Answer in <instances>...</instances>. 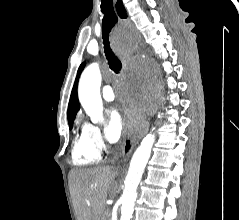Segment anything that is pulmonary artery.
<instances>
[{"label": "pulmonary artery", "mask_w": 239, "mask_h": 220, "mask_svg": "<svg viewBox=\"0 0 239 220\" xmlns=\"http://www.w3.org/2000/svg\"><path fill=\"white\" fill-rule=\"evenodd\" d=\"M102 96L106 101H113L115 99L113 88L110 85L104 86L102 89Z\"/></svg>", "instance_id": "1"}]
</instances>
